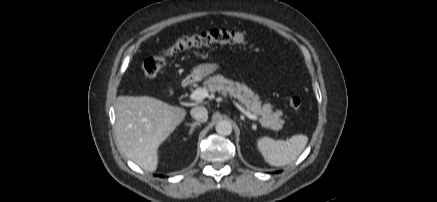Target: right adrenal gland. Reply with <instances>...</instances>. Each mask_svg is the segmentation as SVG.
Instances as JSON below:
<instances>
[{
    "label": "right adrenal gland",
    "mask_w": 437,
    "mask_h": 202,
    "mask_svg": "<svg viewBox=\"0 0 437 202\" xmlns=\"http://www.w3.org/2000/svg\"><path fill=\"white\" fill-rule=\"evenodd\" d=\"M187 126H190V131H189V135H192L194 129L196 126H200L201 123L200 122H194V123H187Z\"/></svg>",
    "instance_id": "obj_1"
}]
</instances>
